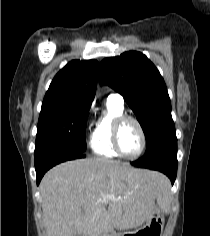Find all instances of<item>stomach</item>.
Here are the masks:
<instances>
[{
	"instance_id": "stomach-1",
	"label": "stomach",
	"mask_w": 210,
	"mask_h": 236,
	"mask_svg": "<svg viewBox=\"0 0 210 236\" xmlns=\"http://www.w3.org/2000/svg\"><path fill=\"white\" fill-rule=\"evenodd\" d=\"M164 227V216L162 210L155 205L147 222L132 232H125L117 236H162Z\"/></svg>"
}]
</instances>
